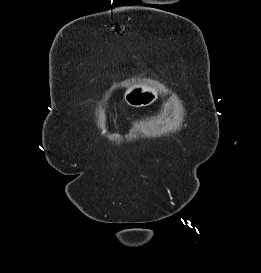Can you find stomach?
Returning <instances> with one entry per match:
<instances>
[{"label":"stomach","instance_id":"obj_1","mask_svg":"<svg viewBox=\"0 0 261 273\" xmlns=\"http://www.w3.org/2000/svg\"><path fill=\"white\" fill-rule=\"evenodd\" d=\"M158 98V89L149 83H135L129 86L124 94V101L133 107L148 106Z\"/></svg>","mask_w":261,"mask_h":273}]
</instances>
